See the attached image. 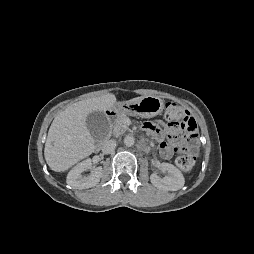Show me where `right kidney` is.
Listing matches in <instances>:
<instances>
[{
    "label": "right kidney",
    "mask_w": 254,
    "mask_h": 254,
    "mask_svg": "<svg viewBox=\"0 0 254 254\" xmlns=\"http://www.w3.org/2000/svg\"><path fill=\"white\" fill-rule=\"evenodd\" d=\"M92 170L90 176L83 173ZM102 176V167H93L91 159L77 164L67 175V184L75 189H87L97 185Z\"/></svg>",
    "instance_id": "1"
}]
</instances>
